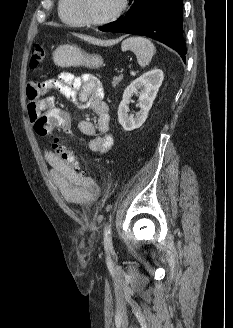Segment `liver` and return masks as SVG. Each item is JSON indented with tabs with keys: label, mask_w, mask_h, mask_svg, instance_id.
<instances>
[{
	"label": "liver",
	"mask_w": 233,
	"mask_h": 328,
	"mask_svg": "<svg viewBox=\"0 0 233 328\" xmlns=\"http://www.w3.org/2000/svg\"><path fill=\"white\" fill-rule=\"evenodd\" d=\"M73 35L74 36H77V37H79V38H81V39H83L85 41H88L90 43H93V44H99V43H101L100 40H98V39H96L94 37H90V36L82 35V34H76V33H74Z\"/></svg>",
	"instance_id": "6515ba94"
}]
</instances>
